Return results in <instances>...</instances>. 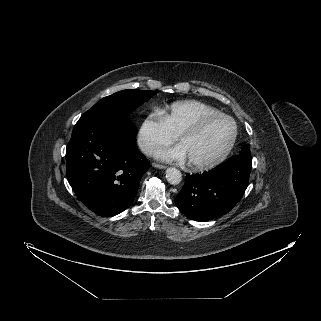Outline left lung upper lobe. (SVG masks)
<instances>
[{"mask_svg":"<svg viewBox=\"0 0 321 321\" xmlns=\"http://www.w3.org/2000/svg\"><path fill=\"white\" fill-rule=\"evenodd\" d=\"M240 154L245 155V156H248V157H251L250 146H249V145H245V146L242 148Z\"/></svg>","mask_w":321,"mask_h":321,"instance_id":"left-lung-upper-lobe-1","label":"left lung upper lobe"}]
</instances>
